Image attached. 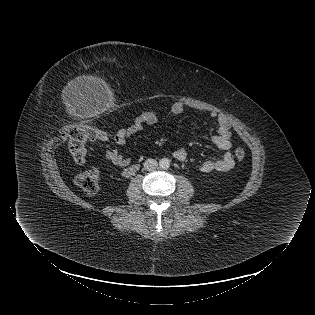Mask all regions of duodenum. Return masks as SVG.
Wrapping results in <instances>:
<instances>
[{
  "label": "duodenum",
  "instance_id": "1",
  "mask_svg": "<svg viewBox=\"0 0 315 315\" xmlns=\"http://www.w3.org/2000/svg\"><path fill=\"white\" fill-rule=\"evenodd\" d=\"M137 169H138V167L136 165H133V166L125 169L124 175L126 177H128V176L132 175L133 173H135Z\"/></svg>",
  "mask_w": 315,
  "mask_h": 315
}]
</instances>
